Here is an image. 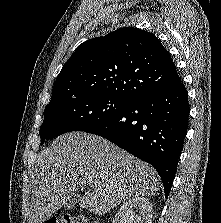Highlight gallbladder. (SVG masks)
Here are the masks:
<instances>
[{
  "label": "gallbladder",
  "instance_id": "gallbladder-1",
  "mask_svg": "<svg viewBox=\"0 0 221 223\" xmlns=\"http://www.w3.org/2000/svg\"><path fill=\"white\" fill-rule=\"evenodd\" d=\"M77 203V198L76 197H71L70 200L67 203V206H69V209L74 207V205Z\"/></svg>",
  "mask_w": 221,
  "mask_h": 223
}]
</instances>
